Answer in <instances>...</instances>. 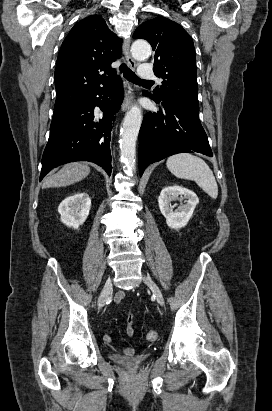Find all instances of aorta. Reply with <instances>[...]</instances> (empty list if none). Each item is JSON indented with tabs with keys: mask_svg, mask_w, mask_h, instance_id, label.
I'll return each mask as SVG.
<instances>
[{
	"mask_svg": "<svg viewBox=\"0 0 272 411\" xmlns=\"http://www.w3.org/2000/svg\"><path fill=\"white\" fill-rule=\"evenodd\" d=\"M135 59L142 60L149 57L151 47L146 41L137 40L131 46ZM142 123V112L138 106L126 113L121 128L120 154L121 161L128 174H132L136 167V141Z\"/></svg>",
	"mask_w": 272,
	"mask_h": 411,
	"instance_id": "aorta-1",
	"label": "aorta"
}]
</instances>
